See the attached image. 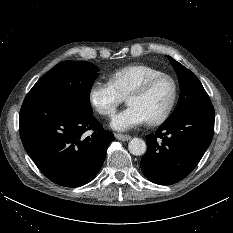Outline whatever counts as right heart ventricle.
Returning a JSON list of instances; mask_svg holds the SVG:
<instances>
[{"label":"right heart ventricle","mask_w":233,"mask_h":233,"mask_svg":"<svg viewBox=\"0 0 233 233\" xmlns=\"http://www.w3.org/2000/svg\"><path fill=\"white\" fill-rule=\"evenodd\" d=\"M161 73L159 69L146 64H131L115 70L110 76V81L125 97L145 79Z\"/></svg>","instance_id":"1"}]
</instances>
